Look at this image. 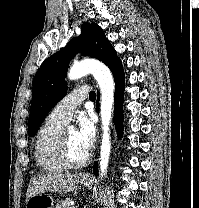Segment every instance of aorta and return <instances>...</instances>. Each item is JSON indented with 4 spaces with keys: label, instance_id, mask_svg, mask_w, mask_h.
<instances>
[{
    "label": "aorta",
    "instance_id": "762f6f07",
    "mask_svg": "<svg viewBox=\"0 0 199 208\" xmlns=\"http://www.w3.org/2000/svg\"><path fill=\"white\" fill-rule=\"evenodd\" d=\"M89 73L93 75L101 91L100 115L102 140L100 146L99 175L102 179L107 173L111 153L110 122L114 101V79L111 71L105 64L93 59H86L74 64L68 72V78L76 80Z\"/></svg>",
    "mask_w": 199,
    "mask_h": 208
}]
</instances>
